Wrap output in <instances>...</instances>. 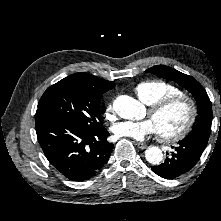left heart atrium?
<instances>
[{"label": "left heart atrium", "mask_w": 221, "mask_h": 221, "mask_svg": "<svg viewBox=\"0 0 221 221\" xmlns=\"http://www.w3.org/2000/svg\"><path fill=\"white\" fill-rule=\"evenodd\" d=\"M112 132L117 137H128L134 140H143L147 135L157 132L152 120L121 121L112 127Z\"/></svg>", "instance_id": "39dd6f15"}]
</instances>
